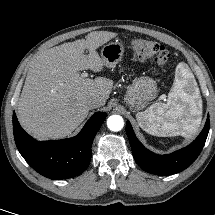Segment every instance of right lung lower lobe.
Returning a JSON list of instances; mask_svg holds the SVG:
<instances>
[{"label":"right lung lower lobe","mask_w":215,"mask_h":215,"mask_svg":"<svg viewBox=\"0 0 215 215\" xmlns=\"http://www.w3.org/2000/svg\"><path fill=\"white\" fill-rule=\"evenodd\" d=\"M106 116L104 112L95 113L73 138L37 141L22 129L14 113L15 143L26 162L41 175L50 179L72 178L88 167L93 139Z\"/></svg>","instance_id":"right-lung-lower-lobe-1"}]
</instances>
